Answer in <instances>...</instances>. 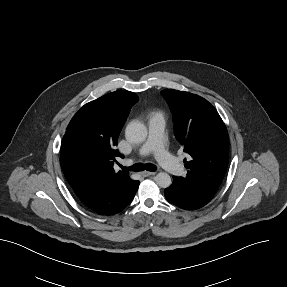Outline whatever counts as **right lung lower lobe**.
Masks as SVG:
<instances>
[{
	"mask_svg": "<svg viewBox=\"0 0 287 287\" xmlns=\"http://www.w3.org/2000/svg\"><path fill=\"white\" fill-rule=\"evenodd\" d=\"M139 181L132 179L112 182L76 193L88 209L100 215H115L126 208L133 200Z\"/></svg>",
	"mask_w": 287,
	"mask_h": 287,
	"instance_id": "obj_1",
	"label": "right lung lower lobe"
}]
</instances>
